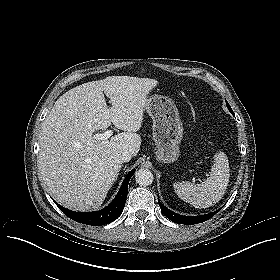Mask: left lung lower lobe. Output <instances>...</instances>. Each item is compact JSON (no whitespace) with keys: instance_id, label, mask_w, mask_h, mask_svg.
Listing matches in <instances>:
<instances>
[{"instance_id":"0a47b994","label":"left lung lower lobe","mask_w":280,"mask_h":280,"mask_svg":"<svg viewBox=\"0 0 280 280\" xmlns=\"http://www.w3.org/2000/svg\"><path fill=\"white\" fill-rule=\"evenodd\" d=\"M159 206L161 208V212L171 221L177 224H184V225H193L197 223H202L206 220L212 218L218 211L201 215V216H183L177 213L172 212L171 210L167 209L160 201H158Z\"/></svg>"}]
</instances>
